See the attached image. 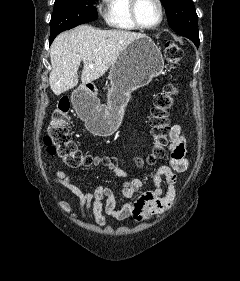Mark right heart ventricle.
I'll list each match as a JSON object with an SVG mask.
<instances>
[{"mask_svg":"<svg viewBox=\"0 0 240 281\" xmlns=\"http://www.w3.org/2000/svg\"><path fill=\"white\" fill-rule=\"evenodd\" d=\"M130 0H105L104 18L113 29L135 31L138 28L130 16Z\"/></svg>","mask_w":240,"mask_h":281,"instance_id":"e07e8e85","label":"right heart ventricle"}]
</instances>
